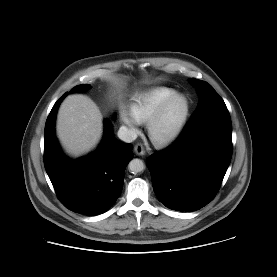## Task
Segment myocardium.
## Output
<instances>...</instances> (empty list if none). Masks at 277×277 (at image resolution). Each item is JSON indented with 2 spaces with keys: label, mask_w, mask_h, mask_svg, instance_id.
I'll list each match as a JSON object with an SVG mask.
<instances>
[{
  "label": "myocardium",
  "mask_w": 277,
  "mask_h": 277,
  "mask_svg": "<svg viewBox=\"0 0 277 277\" xmlns=\"http://www.w3.org/2000/svg\"><path fill=\"white\" fill-rule=\"evenodd\" d=\"M177 99H183L185 103L184 112L176 124V126L173 128L172 131H170L167 134L160 135L157 133V126L160 123L161 119L163 118L165 112L169 108V106ZM190 115V100L184 93L176 92L172 96H170L167 100H165L158 109L154 112V114L150 117V119L147 121V133L149 136V139L152 141V143L156 146L163 147L171 144L174 142L183 132L188 118Z\"/></svg>",
  "instance_id": "obj_1"
}]
</instances>
